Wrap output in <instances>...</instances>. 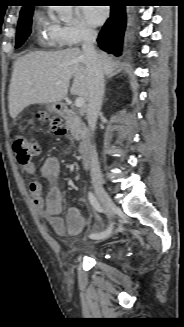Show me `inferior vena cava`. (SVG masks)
<instances>
[{
	"label": "inferior vena cava",
	"mask_w": 184,
	"mask_h": 327,
	"mask_svg": "<svg viewBox=\"0 0 184 327\" xmlns=\"http://www.w3.org/2000/svg\"><path fill=\"white\" fill-rule=\"evenodd\" d=\"M96 39L97 32L95 30L88 28L84 30L82 54L87 63L90 77L87 120L92 132H94L96 128L97 116L101 109L104 95V75L102 71V65L99 56L94 48ZM90 160L91 179L93 182H101V170L95 145L91 146Z\"/></svg>",
	"instance_id": "obj_1"
}]
</instances>
